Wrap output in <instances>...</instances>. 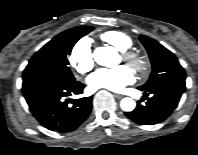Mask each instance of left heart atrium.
Segmentation results:
<instances>
[{"label": "left heart atrium", "instance_id": "obj_1", "mask_svg": "<svg viewBox=\"0 0 198 155\" xmlns=\"http://www.w3.org/2000/svg\"><path fill=\"white\" fill-rule=\"evenodd\" d=\"M134 81V75L129 67L120 65L112 69H99L88 78V84L94 89L121 91Z\"/></svg>", "mask_w": 198, "mask_h": 155}]
</instances>
